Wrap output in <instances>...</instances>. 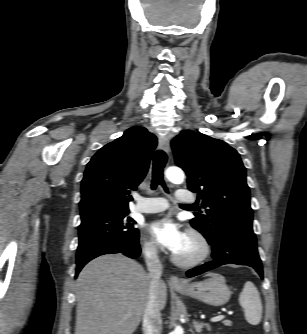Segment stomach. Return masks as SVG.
I'll list each match as a JSON object with an SVG mask.
<instances>
[{
    "label": "stomach",
    "instance_id": "obj_1",
    "mask_svg": "<svg viewBox=\"0 0 307 334\" xmlns=\"http://www.w3.org/2000/svg\"><path fill=\"white\" fill-rule=\"evenodd\" d=\"M178 292L212 306H222L231 297L230 288L223 276L211 274L207 279L191 283L185 289H176Z\"/></svg>",
    "mask_w": 307,
    "mask_h": 334
}]
</instances>
